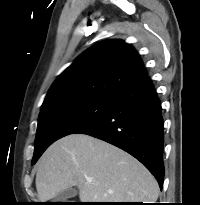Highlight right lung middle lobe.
<instances>
[{
  "label": "right lung middle lobe",
  "mask_w": 200,
  "mask_h": 205,
  "mask_svg": "<svg viewBox=\"0 0 200 205\" xmlns=\"http://www.w3.org/2000/svg\"><path fill=\"white\" fill-rule=\"evenodd\" d=\"M114 98L78 96L53 103L39 114L32 164L57 139L72 134L100 117Z\"/></svg>",
  "instance_id": "dd1d6c3e"
}]
</instances>
